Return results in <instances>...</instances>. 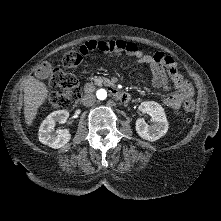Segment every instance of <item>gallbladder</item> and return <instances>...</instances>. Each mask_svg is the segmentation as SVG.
<instances>
[{
  "mask_svg": "<svg viewBox=\"0 0 221 221\" xmlns=\"http://www.w3.org/2000/svg\"><path fill=\"white\" fill-rule=\"evenodd\" d=\"M50 75V71L48 68H45L41 71H36L35 76L39 79H45Z\"/></svg>",
  "mask_w": 221,
  "mask_h": 221,
  "instance_id": "bac80fb5",
  "label": "gallbladder"
}]
</instances>
